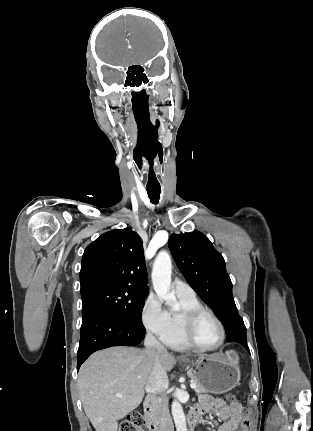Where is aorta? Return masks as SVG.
<instances>
[{
  "instance_id": "aorta-1",
  "label": "aorta",
  "mask_w": 313,
  "mask_h": 431,
  "mask_svg": "<svg viewBox=\"0 0 313 431\" xmlns=\"http://www.w3.org/2000/svg\"><path fill=\"white\" fill-rule=\"evenodd\" d=\"M172 263L171 257L166 251L158 253L152 270V282L154 290L159 298L165 300L172 308L176 307V297L170 292ZM176 431H188L186 418L181 404L174 400L171 406Z\"/></svg>"
}]
</instances>
